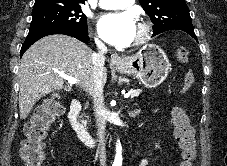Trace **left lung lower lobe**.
I'll return each mask as SVG.
<instances>
[{
  "mask_svg": "<svg viewBox=\"0 0 227 166\" xmlns=\"http://www.w3.org/2000/svg\"><path fill=\"white\" fill-rule=\"evenodd\" d=\"M186 33H188L190 36H192L197 41V37L194 33V30H188V31H186Z\"/></svg>",
  "mask_w": 227,
  "mask_h": 166,
  "instance_id": "0a47b994",
  "label": "left lung lower lobe"
}]
</instances>
